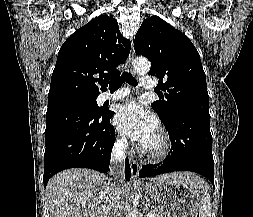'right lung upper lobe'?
Masks as SVG:
<instances>
[{
	"instance_id": "1",
	"label": "right lung upper lobe",
	"mask_w": 253,
	"mask_h": 217,
	"mask_svg": "<svg viewBox=\"0 0 253 217\" xmlns=\"http://www.w3.org/2000/svg\"><path fill=\"white\" fill-rule=\"evenodd\" d=\"M131 49L117 21L101 15L75 31L61 46L52 73L48 102L73 97H97L107 81L120 75Z\"/></svg>"
}]
</instances>
